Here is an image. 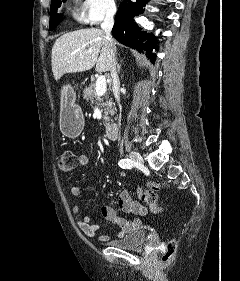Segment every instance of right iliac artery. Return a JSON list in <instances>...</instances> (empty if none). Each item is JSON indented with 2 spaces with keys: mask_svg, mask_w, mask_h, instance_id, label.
<instances>
[{
  "mask_svg": "<svg viewBox=\"0 0 240 281\" xmlns=\"http://www.w3.org/2000/svg\"><path fill=\"white\" fill-rule=\"evenodd\" d=\"M118 165L123 169H131L134 166V163L131 159H121Z\"/></svg>",
  "mask_w": 240,
  "mask_h": 281,
  "instance_id": "1",
  "label": "right iliac artery"
}]
</instances>
